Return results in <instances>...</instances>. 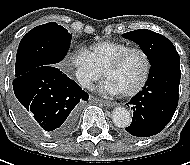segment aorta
Returning <instances> with one entry per match:
<instances>
[{
	"label": "aorta",
	"instance_id": "aorta-1",
	"mask_svg": "<svg viewBox=\"0 0 190 165\" xmlns=\"http://www.w3.org/2000/svg\"><path fill=\"white\" fill-rule=\"evenodd\" d=\"M112 121L119 128L127 127L131 123V114L126 108L117 107L113 111Z\"/></svg>",
	"mask_w": 190,
	"mask_h": 165
}]
</instances>
